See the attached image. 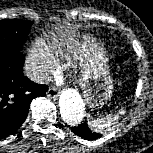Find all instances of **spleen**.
I'll use <instances>...</instances> for the list:
<instances>
[{"mask_svg":"<svg viewBox=\"0 0 153 153\" xmlns=\"http://www.w3.org/2000/svg\"><path fill=\"white\" fill-rule=\"evenodd\" d=\"M125 107H121L118 110V114H109L99 118H89L88 125L89 127L96 132H103L106 128L113 125L118 121L119 117L125 114Z\"/></svg>","mask_w":153,"mask_h":153,"instance_id":"obj_1","label":"spleen"}]
</instances>
